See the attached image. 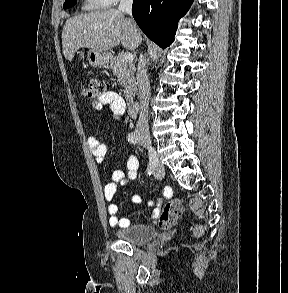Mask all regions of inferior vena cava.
<instances>
[{"mask_svg":"<svg viewBox=\"0 0 288 293\" xmlns=\"http://www.w3.org/2000/svg\"><path fill=\"white\" fill-rule=\"evenodd\" d=\"M133 0H120L118 11L131 15ZM145 60L141 55L137 69V84L140 99V115L136 125V134L142 137L149 136L148 106L150 97V84L145 70Z\"/></svg>","mask_w":288,"mask_h":293,"instance_id":"obj_1","label":"inferior vena cava"}]
</instances>
